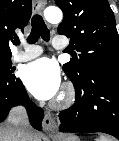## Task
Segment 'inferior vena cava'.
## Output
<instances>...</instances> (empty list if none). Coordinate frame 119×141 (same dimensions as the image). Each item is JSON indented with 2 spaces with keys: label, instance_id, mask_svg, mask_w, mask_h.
Returning <instances> with one entry per match:
<instances>
[{
  "label": "inferior vena cava",
  "instance_id": "obj_1",
  "mask_svg": "<svg viewBox=\"0 0 119 141\" xmlns=\"http://www.w3.org/2000/svg\"><path fill=\"white\" fill-rule=\"evenodd\" d=\"M8 121L14 127L16 141H28L30 125L25 108L23 106L12 108L9 112Z\"/></svg>",
  "mask_w": 119,
  "mask_h": 141
}]
</instances>
